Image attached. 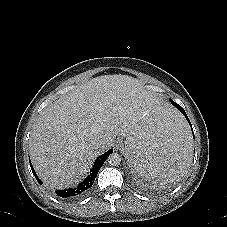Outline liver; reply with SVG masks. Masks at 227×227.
<instances>
[{
    "instance_id": "obj_1",
    "label": "liver",
    "mask_w": 227,
    "mask_h": 227,
    "mask_svg": "<svg viewBox=\"0 0 227 227\" xmlns=\"http://www.w3.org/2000/svg\"><path fill=\"white\" fill-rule=\"evenodd\" d=\"M153 101L141 82L126 75L93 78L48 105L30 137L37 175L51 189L79 183L117 135L126 136ZM104 147L94 149V141Z\"/></svg>"
}]
</instances>
